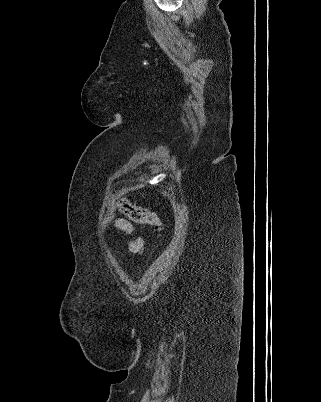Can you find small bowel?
Returning <instances> with one entry per match:
<instances>
[{"mask_svg": "<svg viewBox=\"0 0 321 402\" xmlns=\"http://www.w3.org/2000/svg\"><path fill=\"white\" fill-rule=\"evenodd\" d=\"M115 227L125 234H131L133 231L132 225L124 219H117L115 221ZM128 246L131 252L140 253L143 249V241L141 239H135L130 241Z\"/></svg>", "mask_w": 321, "mask_h": 402, "instance_id": "c3829d8e", "label": "small bowel"}]
</instances>
